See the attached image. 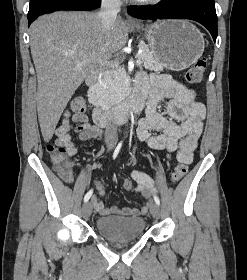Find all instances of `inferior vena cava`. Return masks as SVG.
<instances>
[{
  "label": "inferior vena cava",
  "instance_id": "602c4592",
  "mask_svg": "<svg viewBox=\"0 0 247 280\" xmlns=\"http://www.w3.org/2000/svg\"><path fill=\"white\" fill-rule=\"evenodd\" d=\"M121 4V0H102L101 10L98 13V16L101 18V25L104 31H109L113 28ZM117 138V129L112 124L107 129L106 140L108 143H113L117 141Z\"/></svg>",
  "mask_w": 247,
  "mask_h": 280
}]
</instances>
